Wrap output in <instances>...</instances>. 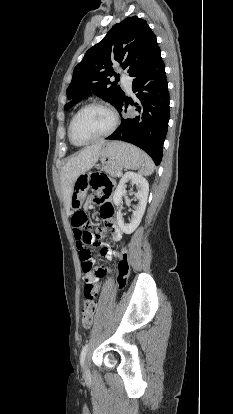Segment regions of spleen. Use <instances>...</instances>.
Masks as SVG:
<instances>
[{
	"label": "spleen",
	"mask_w": 233,
	"mask_h": 414,
	"mask_svg": "<svg viewBox=\"0 0 233 414\" xmlns=\"http://www.w3.org/2000/svg\"><path fill=\"white\" fill-rule=\"evenodd\" d=\"M143 157L144 163L141 166L140 173L145 176L151 175L154 172L155 165L152 159L146 153H143Z\"/></svg>",
	"instance_id": "1"
}]
</instances>
